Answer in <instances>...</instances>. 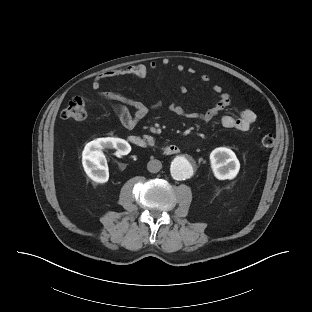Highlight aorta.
I'll return each instance as SVG.
<instances>
[{"label": "aorta", "mask_w": 312, "mask_h": 312, "mask_svg": "<svg viewBox=\"0 0 312 312\" xmlns=\"http://www.w3.org/2000/svg\"><path fill=\"white\" fill-rule=\"evenodd\" d=\"M193 163L186 157H176L170 167L171 176L176 180H185L193 174Z\"/></svg>", "instance_id": "762f6f07"}]
</instances>
